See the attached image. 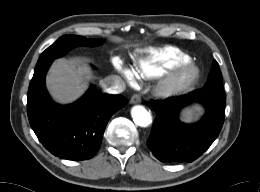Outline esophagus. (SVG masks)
<instances>
[{"label": "esophagus", "instance_id": "1", "mask_svg": "<svg viewBox=\"0 0 260 192\" xmlns=\"http://www.w3.org/2000/svg\"><path fill=\"white\" fill-rule=\"evenodd\" d=\"M141 102V97L138 94H134L132 95L131 99H130V103L131 104H137Z\"/></svg>", "mask_w": 260, "mask_h": 192}]
</instances>
